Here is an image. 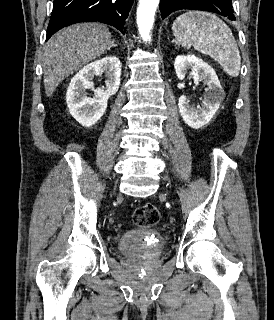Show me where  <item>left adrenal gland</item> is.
<instances>
[{"mask_svg":"<svg viewBox=\"0 0 274 320\" xmlns=\"http://www.w3.org/2000/svg\"><path fill=\"white\" fill-rule=\"evenodd\" d=\"M172 42H174V44H176V46H178V48H180V42H176V40H172Z\"/></svg>","mask_w":274,"mask_h":320,"instance_id":"a2214340","label":"left adrenal gland"}]
</instances>
